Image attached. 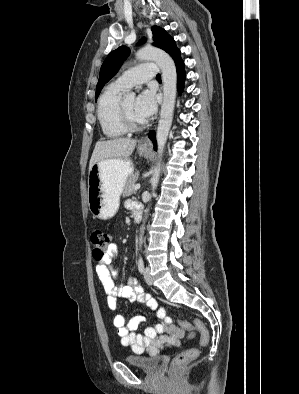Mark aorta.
Here are the masks:
<instances>
[{
	"instance_id": "obj_1",
	"label": "aorta",
	"mask_w": 299,
	"mask_h": 394,
	"mask_svg": "<svg viewBox=\"0 0 299 394\" xmlns=\"http://www.w3.org/2000/svg\"><path fill=\"white\" fill-rule=\"evenodd\" d=\"M136 59L140 61H154L162 72L163 80V103L160 111V120L158 123L156 140L158 147V154L162 156L166 140L168 137L169 130L171 128L173 112L176 99L177 91V72L176 66L173 59L165 51L155 47H144L137 51ZM130 96L134 97V93H130ZM161 166L160 162L156 164L153 170V176L150 180L152 187V196L155 195L159 177H160ZM149 212V209L145 210V213ZM145 229V221L140 229L139 245L141 247L143 243V234Z\"/></svg>"
}]
</instances>
